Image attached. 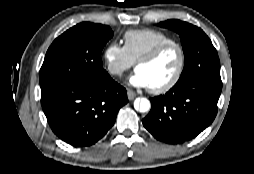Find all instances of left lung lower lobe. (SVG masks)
Returning <instances> with one entry per match:
<instances>
[{
    "mask_svg": "<svg viewBox=\"0 0 254 174\" xmlns=\"http://www.w3.org/2000/svg\"><path fill=\"white\" fill-rule=\"evenodd\" d=\"M222 81L203 78L175 85L165 95L150 98L144 127L159 141L179 144L195 138L214 120Z\"/></svg>",
    "mask_w": 254,
    "mask_h": 174,
    "instance_id": "obj_1",
    "label": "left lung lower lobe"
}]
</instances>
